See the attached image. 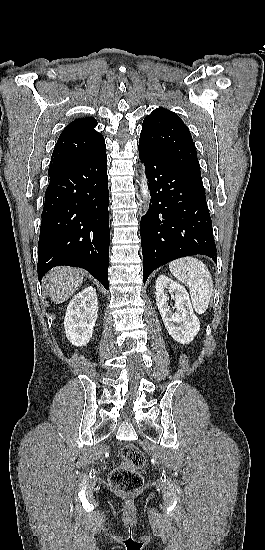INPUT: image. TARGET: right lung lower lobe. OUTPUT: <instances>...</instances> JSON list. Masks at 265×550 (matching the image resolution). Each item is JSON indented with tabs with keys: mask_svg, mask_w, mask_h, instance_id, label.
I'll list each match as a JSON object with an SVG mask.
<instances>
[{
	"mask_svg": "<svg viewBox=\"0 0 265 550\" xmlns=\"http://www.w3.org/2000/svg\"><path fill=\"white\" fill-rule=\"evenodd\" d=\"M38 244V278L59 265L86 269L108 290L106 151L49 169Z\"/></svg>",
	"mask_w": 265,
	"mask_h": 550,
	"instance_id": "right-lung-lower-lobe-1",
	"label": "right lung lower lobe"
}]
</instances>
